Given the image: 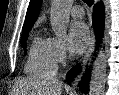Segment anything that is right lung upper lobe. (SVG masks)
<instances>
[{
  "label": "right lung upper lobe",
  "mask_w": 119,
  "mask_h": 95,
  "mask_svg": "<svg viewBox=\"0 0 119 95\" xmlns=\"http://www.w3.org/2000/svg\"><path fill=\"white\" fill-rule=\"evenodd\" d=\"M41 3L42 0H30L22 33L29 31L30 28L33 26L34 22L36 21L39 15Z\"/></svg>",
  "instance_id": "obj_1"
}]
</instances>
